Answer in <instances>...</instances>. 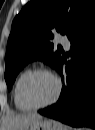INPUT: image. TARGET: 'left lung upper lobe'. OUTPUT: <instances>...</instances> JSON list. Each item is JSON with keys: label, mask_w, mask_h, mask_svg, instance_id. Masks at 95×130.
<instances>
[{"label": "left lung upper lobe", "mask_w": 95, "mask_h": 130, "mask_svg": "<svg viewBox=\"0 0 95 130\" xmlns=\"http://www.w3.org/2000/svg\"><path fill=\"white\" fill-rule=\"evenodd\" d=\"M95 12V0H31L12 23L5 57V80L11 88L30 61L42 60L56 69L61 55L54 50L53 32L70 38Z\"/></svg>", "instance_id": "1"}]
</instances>
